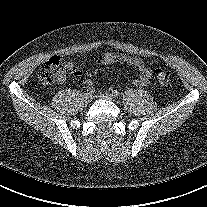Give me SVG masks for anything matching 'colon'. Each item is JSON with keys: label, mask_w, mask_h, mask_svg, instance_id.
I'll return each instance as SVG.
<instances>
[{"label": "colon", "mask_w": 207, "mask_h": 207, "mask_svg": "<svg viewBox=\"0 0 207 207\" xmlns=\"http://www.w3.org/2000/svg\"><path fill=\"white\" fill-rule=\"evenodd\" d=\"M67 66L58 56L50 58L40 69L39 79L47 85L54 84L64 74ZM155 76L161 84H168L171 80L169 71L163 68L155 69Z\"/></svg>", "instance_id": "obj_1"}]
</instances>
